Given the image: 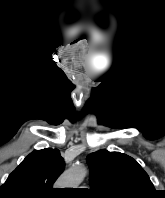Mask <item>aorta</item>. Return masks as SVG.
<instances>
[{"label": "aorta", "instance_id": "1", "mask_svg": "<svg viewBox=\"0 0 165 198\" xmlns=\"http://www.w3.org/2000/svg\"><path fill=\"white\" fill-rule=\"evenodd\" d=\"M86 168L81 164H74L59 179L61 188H77L86 176Z\"/></svg>", "mask_w": 165, "mask_h": 198}]
</instances>
